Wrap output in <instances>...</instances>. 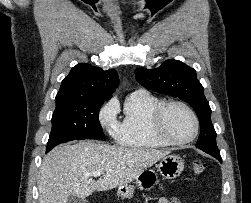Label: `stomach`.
Here are the masks:
<instances>
[{
  "mask_svg": "<svg viewBox=\"0 0 251 203\" xmlns=\"http://www.w3.org/2000/svg\"><path fill=\"white\" fill-rule=\"evenodd\" d=\"M184 169V161L177 155L171 154L161 158L157 170H144L135 181L136 185L126 184L118 188L117 195L122 199L133 197L134 190L138 187L141 190H150L158 184V174L165 179H174L178 177Z\"/></svg>",
  "mask_w": 251,
  "mask_h": 203,
  "instance_id": "0dacf381",
  "label": "stomach"
}]
</instances>
